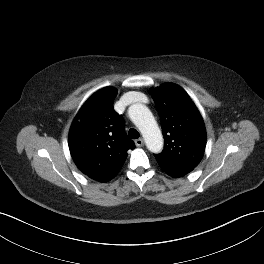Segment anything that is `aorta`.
Segmentation results:
<instances>
[{
  "label": "aorta",
  "mask_w": 264,
  "mask_h": 264,
  "mask_svg": "<svg viewBox=\"0 0 264 264\" xmlns=\"http://www.w3.org/2000/svg\"><path fill=\"white\" fill-rule=\"evenodd\" d=\"M128 113L141 131L147 148L153 153H159L163 148V136L151 111L145 105L137 103L129 107Z\"/></svg>",
  "instance_id": "1"
}]
</instances>
